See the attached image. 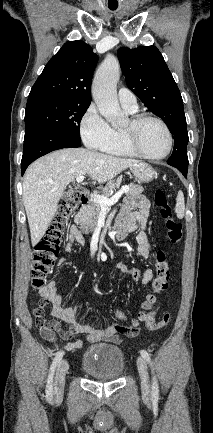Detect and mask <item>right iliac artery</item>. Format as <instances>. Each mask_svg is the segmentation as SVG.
I'll list each match as a JSON object with an SVG mask.
<instances>
[{
  "mask_svg": "<svg viewBox=\"0 0 213 433\" xmlns=\"http://www.w3.org/2000/svg\"><path fill=\"white\" fill-rule=\"evenodd\" d=\"M64 355V351H59L52 364L50 367V371H49V375H48V379H47V385H46V397L47 400L50 402L53 398V376H54V371L56 366L60 363V361L62 360V357Z\"/></svg>",
  "mask_w": 213,
  "mask_h": 433,
  "instance_id": "82829eb1",
  "label": "right iliac artery"
}]
</instances>
